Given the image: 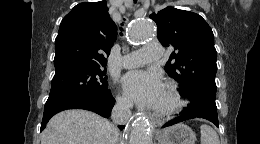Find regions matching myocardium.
Here are the masks:
<instances>
[{
    "mask_svg": "<svg viewBox=\"0 0 260 144\" xmlns=\"http://www.w3.org/2000/svg\"><path fill=\"white\" fill-rule=\"evenodd\" d=\"M165 89L167 90L170 97V104L162 108H154V112L161 116H171L180 112L184 106V102L180 95L177 86L171 82L165 84Z\"/></svg>",
    "mask_w": 260,
    "mask_h": 144,
    "instance_id": "obj_1",
    "label": "myocardium"
}]
</instances>
